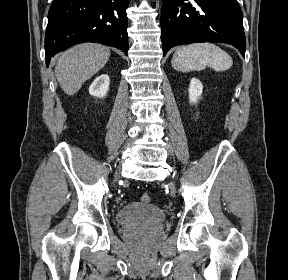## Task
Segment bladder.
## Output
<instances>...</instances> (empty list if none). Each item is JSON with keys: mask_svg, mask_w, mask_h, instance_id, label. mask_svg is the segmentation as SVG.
<instances>
[{"mask_svg": "<svg viewBox=\"0 0 288 280\" xmlns=\"http://www.w3.org/2000/svg\"><path fill=\"white\" fill-rule=\"evenodd\" d=\"M165 218L166 215L160 207L140 202L129 203L116 212L119 224L144 230L160 227Z\"/></svg>", "mask_w": 288, "mask_h": 280, "instance_id": "1", "label": "bladder"}]
</instances>
